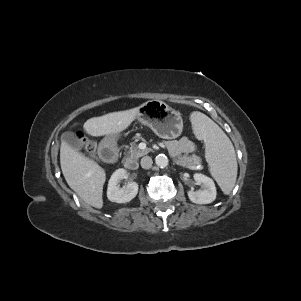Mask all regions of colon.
Returning <instances> with one entry per match:
<instances>
[{
	"instance_id": "colon-1",
	"label": "colon",
	"mask_w": 301,
	"mask_h": 301,
	"mask_svg": "<svg viewBox=\"0 0 301 301\" xmlns=\"http://www.w3.org/2000/svg\"><path fill=\"white\" fill-rule=\"evenodd\" d=\"M80 141H81L85 151L89 155H94L96 153V144L92 140H90L89 138H87L81 134Z\"/></svg>"
}]
</instances>
